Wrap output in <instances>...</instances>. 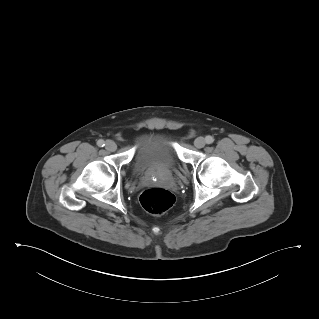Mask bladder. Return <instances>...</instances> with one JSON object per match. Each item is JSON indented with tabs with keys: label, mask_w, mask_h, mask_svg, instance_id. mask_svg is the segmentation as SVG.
Returning a JSON list of instances; mask_svg holds the SVG:
<instances>
[{
	"label": "bladder",
	"mask_w": 319,
	"mask_h": 319,
	"mask_svg": "<svg viewBox=\"0 0 319 319\" xmlns=\"http://www.w3.org/2000/svg\"><path fill=\"white\" fill-rule=\"evenodd\" d=\"M178 165L175 138L165 131L146 133L138 142L132 158V168L139 174L148 170L171 171Z\"/></svg>",
	"instance_id": "31cf9c89"
}]
</instances>
